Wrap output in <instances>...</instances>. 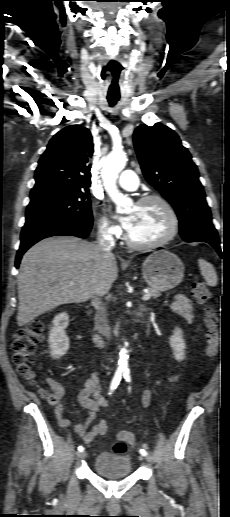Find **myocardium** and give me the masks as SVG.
I'll return each mask as SVG.
<instances>
[{
	"instance_id": "f54148a6",
	"label": "myocardium",
	"mask_w": 230,
	"mask_h": 517,
	"mask_svg": "<svg viewBox=\"0 0 230 517\" xmlns=\"http://www.w3.org/2000/svg\"><path fill=\"white\" fill-rule=\"evenodd\" d=\"M151 202H157L163 207L169 218V228L163 237L149 243L137 242L131 238L128 232H126L125 241L132 248L139 250H151L160 248L168 244L177 235L179 231V217L171 203L163 196L158 194L147 195L139 199L136 205L142 206Z\"/></svg>"
}]
</instances>
